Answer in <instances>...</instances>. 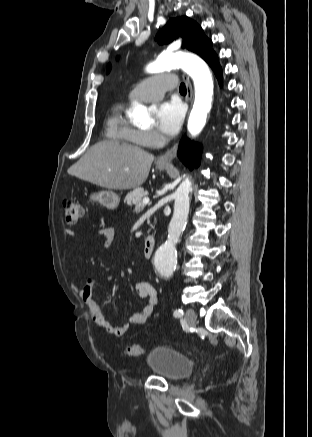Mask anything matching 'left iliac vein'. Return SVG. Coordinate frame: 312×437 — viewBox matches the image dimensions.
<instances>
[{"label":"left iliac vein","mask_w":312,"mask_h":437,"mask_svg":"<svg viewBox=\"0 0 312 437\" xmlns=\"http://www.w3.org/2000/svg\"><path fill=\"white\" fill-rule=\"evenodd\" d=\"M185 320L187 322V325L191 328L196 327L197 324V317H196V313L193 309L189 308L186 310L185 313Z\"/></svg>","instance_id":"left-iliac-vein-1"}]
</instances>
